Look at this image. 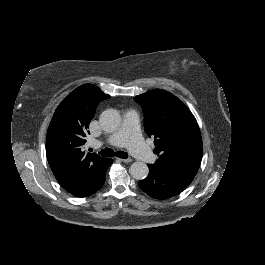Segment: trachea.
I'll return each instance as SVG.
<instances>
[{"label":"trachea","instance_id":"obj_1","mask_svg":"<svg viewBox=\"0 0 265 265\" xmlns=\"http://www.w3.org/2000/svg\"><path fill=\"white\" fill-rule=\"evenodd\" d=\"M100 154L102 156H105V157L117 156V157L122 158V159H126L128 157V154L126 152H123V151L114 152L110 148H105V149L101 150Z\"/></svg>","mask_w":265,"mask_h":265}]
</instances>
